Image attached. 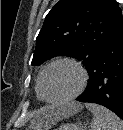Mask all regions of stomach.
<instances>
[{
    "label": "stomach",
    "mask_w": 123,
    "mask_h": 130,
    "mask_svg": "<svg viewBox=\"0 0 123 130\" xmlns=\"http://www.w3.org/2000/svg\"><path fill=\"white\" fill-rule=\"evenodd\" d=\"M57 130H83L81 124H63Z\"/></svg>",
    "instance_id": "1"
}]
</instances>
